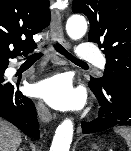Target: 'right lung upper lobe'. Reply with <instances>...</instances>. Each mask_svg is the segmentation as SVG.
Here are the masks:
<instances>
[{"mask_svg": "<svg viewBox=\"0 0 131 151\" xmlns=\"http://www.w3.org/2000/svg\"><path fill=\"white\" fill-rule=\"evenodd\" d=\"M49 23V0H0V61L33 51Z\"/></svg>", "mask_w": 131, "mask_h": 151, "instance_id": "obj_1", "label": "right lung upper lobe"}]
</instances>
